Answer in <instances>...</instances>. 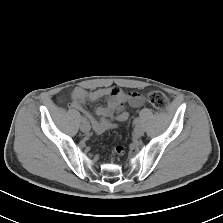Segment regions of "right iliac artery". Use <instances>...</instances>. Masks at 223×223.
Wrapping results in <instances>:
<instances>
[{"label": "right iliac artery", "mask_w": 223, "mask_h": 223, "mask_svg": "<svg viewBox=\"0 0 223 223\" xmlns=\"http://www.w3.org/2000/svg\"><path fill=\"white\" fill-rule=\"evenodd\" d=\"M82 122H84V118H82Z\"/></svg>", "instance_id": "right-iliac-artery-1"}]
</instances>
